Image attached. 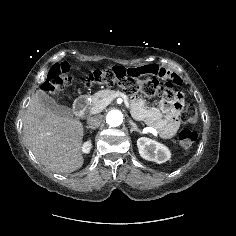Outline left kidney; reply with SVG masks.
I'll return each instance as SVG.
<instances>
[{"instance_id": "5707ae66", "label": "left kidney", "mask_w": 236, "mask_h": 236, "mask_svg": "<svg viewBox=\"0 0 236 236\" xmlns=\"http://www.w3.org/2000/svg\"><path fill=\"white\" fill-rule=\"evenodd\" d=\"M137 147L142 158L158 164L168 161L171 156L170 150L165 145L146 137L137 140Z\"/></svg>"}]
</instances>
